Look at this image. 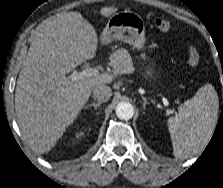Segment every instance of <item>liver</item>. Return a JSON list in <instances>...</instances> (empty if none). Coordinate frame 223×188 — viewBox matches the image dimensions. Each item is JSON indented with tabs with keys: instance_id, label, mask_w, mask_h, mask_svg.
Here are the masks:
<instances>
[{
	"instance_id": "6515ba94",
	"label": "liver",
	"mask_w": 223,
	"mask_h": 188,
	"mask_svg": "<svg viewBox=\"0 0 223 188\" xmlns=\"http://www.w3.org/2000/svg\"><path fill=\"white\" fill-rule=\"evenodd\" d=\"M116 8L104 7L109 17ZM97 34L79 12L45 20L35 33L23 62L15 91L17 121L24 139L37 153L48 152L62 137L88 101L92 90L111 83L126 72L125 64L112 61V73L72 81L66 74L95 56ZM102 43L109 40L102 33Z\"/></svg>"
}]
</instances>
